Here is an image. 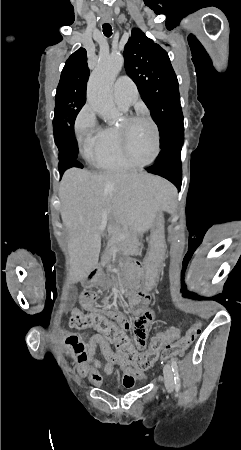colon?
<instances>
[{"label": "colon", "instance_id": "obj_1", "mask_svg": "<svg viewBox=\"0 0 241 450\" xmlns=\"http://www.w3.org/2000/svg\"><path fill=\"white\" fill-rule=\"evenodd\" d=\"M69 322L72 326L80 329H91L94 327L100 330L109 339L114 349L128 359V365L136 366L137 371H150L153 364V357H158L159 355L155 353H159L162 345L166 344L169 337H174L177 331V326L170 324L168 328L159 331L158 336H155L151 340L148 346L149 350H134L133 345L127 341L121 330L104 315L99 313L85 315L77 311L70 315ZM200 330L201 324L196 323L173 346L169 343L166 344L158 361L166 362L168 355L178 356V354L183 353L187 348L193 347Z\"/></svg>", "mask_w": 241, "mask_h": 450}]
</instances>
